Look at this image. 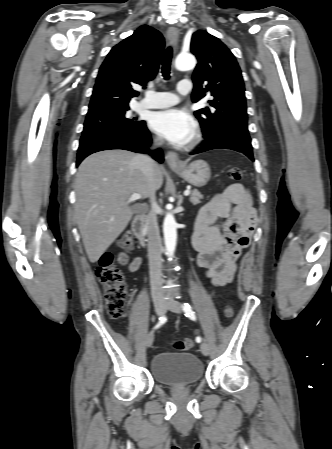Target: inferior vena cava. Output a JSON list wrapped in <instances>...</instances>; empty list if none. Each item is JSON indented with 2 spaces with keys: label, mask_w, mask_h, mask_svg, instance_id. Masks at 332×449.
<instances>
[{
  "label": "inferior vena cava",
  "mask_w": 332,
  "mask_h": 449,
  "mask_svg": "<svg viewBox=\"0 0 332 449\" xmlns=\"http://www.w3.org/2000/svg\"><path fill=\"white\" fill-rule=\"evenodd\" d=\"M157 145L161 144L156 142ZM135 161L138 164L141 172L149 182L153 180L155 163L152 158L147 155H136ZM152 208L146 217V233L148 237V258H149V273L152 295H160L162 293V242L159 233L157 216L155 212V192L151 190L149 195Z\"/></svg>",
  "instance_id": "602c4592"
}]
</instances>
